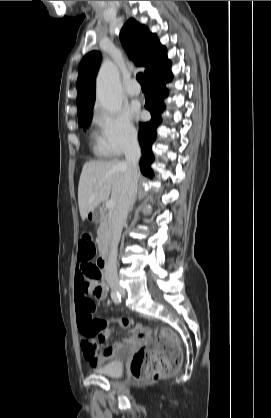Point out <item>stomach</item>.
<instances>
[{
    "mask_svg": "<svg viewBox=\"0 0 271 418\" xmlns=\"http://www.w3.org/2000/svg\"><path fill=\"white\" fill-rule=\"evenodd\" d=\"M100 217V212L98 209H95L93 211H90L87 216L86 219L90 222H96L99 220Z\"/></svg>",
    "mask_w": 271,
    "mask_h": 418,
    "instance_id": "obj_1",
    "label": "stomach"
}]
</instances>
